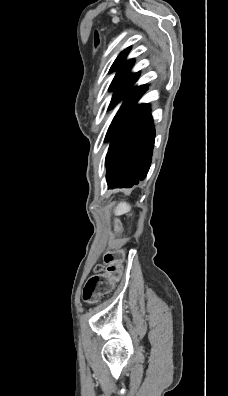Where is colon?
<instances>
[{
  "label": "colon",
  "instance_id": "obj_1",
  "mask_svg": "<svg viewBox=\"0 0 228 396\" xmlns=\"http://www.w3.org/2000/svg\"><path fill=\"white\" fill-rule=\"evenodd\" d=\"M124 252L116 240L104 255V268L96 266L95 273L89 278L83 289V300L94 303L108 293L122 274Z\"/></svg>",
  "mask_w": 228,
  "mask_h": 396
}]
</instances>
